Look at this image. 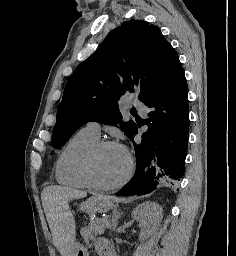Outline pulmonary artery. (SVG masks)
Instances as JSON below:
<instances>
[{
	"label": "pulmonary artery",
	"instance_id": "pulmonary-artery-1",
	"mask_svg": "<svg viewBox=\"0 0 236 256\" xmlns=\"http://www.w3.org/2000/svg\"><path fill=\"white\" fill-rule=\"evenodd\" d=\"M137 110L141 115H146L147 114V107L143 104L140 103L137 105ZM89 135L93 136L96 139H100L101 136V131H100V126L96 122H89L86 124V126L83 128Z\"/></svg>",
	"mask_w": 236,
	"mask_h": 256
}]
</instances>
